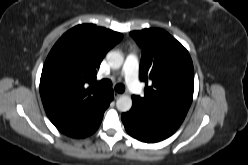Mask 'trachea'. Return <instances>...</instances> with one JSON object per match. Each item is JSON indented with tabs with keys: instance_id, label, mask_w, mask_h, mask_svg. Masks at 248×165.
I'll use <instances>...</instances> for the list:
<instances>
[{
	"instance_id": "trachea-1",
	"label": "trachea",
	"mask_w": 248,
	"mask_h": 165,
	"mask_svg": "<svg viewBox=\"0 0 248 165\" xmlns=\"http://www.w3.org/2000/svg\"><path fill=\"white\" fill-rule=\"evenodd\" d=\"M97 86L103 87V88H111L112 87V82L109 79H103L99 82L95 83ZM115 90L118 93H123L125 91V86L123 84H117L115 86Z\"/></svg>"
}]
</instances>
